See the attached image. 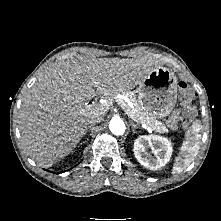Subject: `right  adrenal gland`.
Returning a JSON list of instances; mask_svg holds the SVG:
<instances>
[{
    "label": "right adrenal gland",
    "mask_w": 221,
    "mask_h": 221,
    "mask_svg": "<svg viewBox=\"0 0 221 221\" xmlns=\"http://www.w3.org/2000/svg\"><path fill=\"white\" fill-rule=\"evenodd\" d=\"M90 128H91V126H88V127L86 128L84 135L87 134V132H88V130H89Z\"/></svg>",
    "instance_id": "right-adrenal-gland-1"
}]
</instances>
